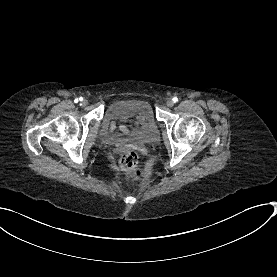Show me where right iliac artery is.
I'll return each instance as SVG.
<instances>
[{
	"instance_id": "1",
	"label": "right iliac artery",
	"mask_w": 277,
	"mask_h": 277,
	"mask_svg": "<svg viewBox=\"0 0 277 277\" xmlns=\"http://www.w3.org/2000/svg\"><path fill=\"white\" fill-rule=\"evenodd\" d=\"M82 100H83V98L80 97V98L75 99V102L82 101Z\"/></svg>"
}]
</instances>
